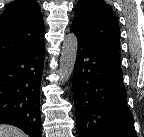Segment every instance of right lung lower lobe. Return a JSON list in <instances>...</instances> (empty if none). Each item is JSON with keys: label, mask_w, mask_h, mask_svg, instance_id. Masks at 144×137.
I'll return each mask as SVG.
<instances>
[{"label": "right lung lower lobe", "mask_w": 144, "mask_h": 137, "mask_svg": "<svg viewBox=\"0 0 144 137\" xmlns=\"http://www.w3.org/2000/svg\"><path fill=\"white\" fill-rule=\"evenodd\" d=\"M44 39L0 62V124L41 137L40 83Z\"/></svg>", "instance_id": "98d812e1"}]
</instances>
